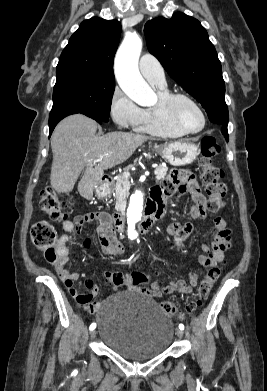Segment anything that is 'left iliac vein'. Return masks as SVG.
<instances>
[{"label":"left iliac vein","instance_id":"obj_1","mask_svg":"<svg viewBox=\"0 0 267 391\" xmlns=\"http://www.w3.org/2000/svg\"><path fill=\"white\" fill-rule=\"evenodd\" d=\"M176 335L179 337V338H182L183 337V331L181 329H176Z\"/></svg>","mask_w":267,"mask_h":391}]
</instances>
